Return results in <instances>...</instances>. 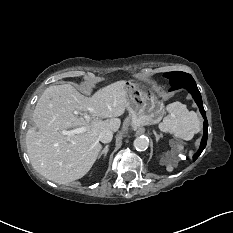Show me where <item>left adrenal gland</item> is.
Segmentation results:
<instances>
[{"label": "left adrenal gland", "mask_w": 233, "mask_h": 233, "mask_svg": "<svg viewBox=\"0 0 233 233\" xmlns=\"http://www.w3.org/2000/svg\"><path fill=\"white\" fill-rule=\"evenodd\" d=\"M154 134L156 136V140L158 141V139L161 137L160 135H158L155 131H154Z\"/></svg>", "instance_id": "obj_1"}]
</instances>
